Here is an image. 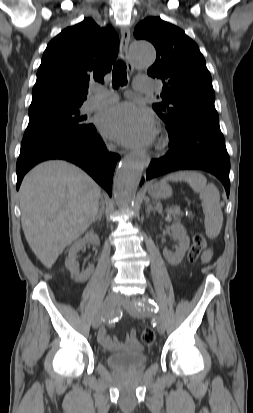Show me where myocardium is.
I'll return each instance as SVG.
<instances>
[{"label":"myocardium","mask_w":253,"mask_h":413,"mask_svg":"<svg viewBox=\"0 0 253 413\" xmlns=\"http://www.w3.org/2000/svg\"><path fill=\"white\" fill-rule=\"evenodd\" d=\"M167 146V141L164 138H160L156 144L158 150H164Z\"/></svg>","instance_id":"myocardium-1"}]
</instances>
